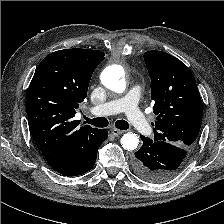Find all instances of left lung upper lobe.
<instances>
[{
  "label": "left lung upper lobe",
  "instance_id": "obj_1",
  "mask_svg": "<svg viewBox=\"0 0 224 224\" xmlns=\"http://www.w3.org/2000/svg\"><path fill=\"white\" fill-rule=\"evenodd\" d=\"M151 78L153 112L157 115L154 140L190 151L199 134L203 107L197 84L189 68L162 51L144 54ZM171 173L174 177L180 171Z\"/></svg>",
  "mask_w": 224,
  "mask_h": 224
}]
</instances>
